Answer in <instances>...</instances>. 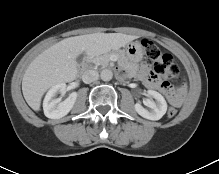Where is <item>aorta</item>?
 Returning a JSON list of instances; mask_svg holds the SVG:
<instances>
[{"label":"aorta","mask_w":219,"mask_h":174,"mask_svg":"<svg viewBox=\"0 0 219 174\" xmlns=\"http://www.w3.org/2000/svg\"><path fill=\"white\" fill-rule=\"evenodd\" d=\"M100 77L103 81H110L113 77V73L109 69H104L101 71Z\"/></svg>","instance_id":"aorta-1"}]
</instances>
